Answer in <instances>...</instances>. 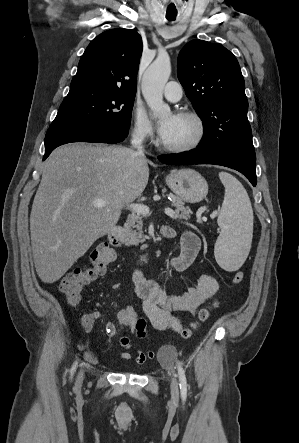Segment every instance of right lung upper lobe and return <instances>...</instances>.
Wrapping results in <instances>:
<instances>
[{"instance_id": "cb5924a9", "label": "right lung upper lobe", "mask_w": 299, "mask_h": 443, "mask_svg": "<svg viewBox=\"0 0 299 443\" xmlns=\"http://www.w3.org/2000/svg\"><path fill=\"white\" fill-rule=\"evenodd\" d=\"M142 48L141 36L134 30L101 33L82 55L70 89L98 88L135 95Z\"/></svg>"}]
</instances>
